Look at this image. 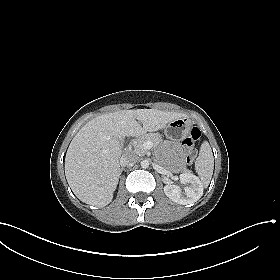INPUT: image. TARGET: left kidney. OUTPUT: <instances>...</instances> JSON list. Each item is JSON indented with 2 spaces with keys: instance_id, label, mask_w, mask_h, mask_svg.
<instances>
[{
  "instance_id": "5707ae66",
  "label": "left kidney",
  "mask_w": 280,
  "mask_h": 280,
  "mask_svg": "<svg viewBox=\"0 0 280 280\" xmlns=\"http://www.w3.org/2000/svg\"><path fill=\"white\" fill-rule=\"evenodd\" d=\"M180 182L187 185L182 189L174 184H168L164 186V193L173 202L187 205L198 201L203 195V185L199 178L192 173H182L179 176Z\"/></svg>"
}]
</instances>
